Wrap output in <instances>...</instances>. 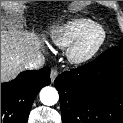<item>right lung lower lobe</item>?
<instances>
[{
	"mask_svg": "<svg viewBox=\"0 0 123 123\" xmlns=\"http://www.w3.org/2000/svg\"><path fill=\"white\" fill-rule=\"evenodd\" d=\"M49 84L48 67L22 72L13 81L1 84V123H27L36 95Z\"/></svg>",
	"mask_w": 123,
	"mask_h": 123,
	"instance_id": "right-lung-lower-lobe-1",
	"label": "right lung lower lobe"
}]
</instances>
